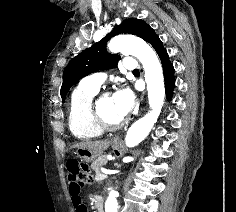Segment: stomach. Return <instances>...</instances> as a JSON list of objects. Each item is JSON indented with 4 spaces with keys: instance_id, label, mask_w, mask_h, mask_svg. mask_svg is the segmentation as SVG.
I'll list each match as a JSON object with an SVG mask.
<instances>
[{
    "instance_id": "1",
    "label": "stomach",
    "mask_w": 236,
    "mask_h": 212,
    "mask_svg": "<svg viewBox=\"0 0 236 212\" xmlns=\"http://www.w3.org/2000/svg\"><path fill=\"white\" fill-rule=\"evenodd\" d=\"M113 149L118 152L120 151V145L115 140L111 142ZM75 154L85 162H92L97 159L101 154H95L92 151L85 148H77Z\"/></svg>"
}]
</instances>
